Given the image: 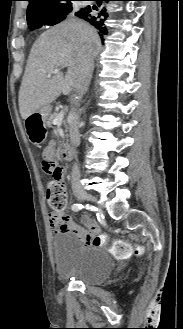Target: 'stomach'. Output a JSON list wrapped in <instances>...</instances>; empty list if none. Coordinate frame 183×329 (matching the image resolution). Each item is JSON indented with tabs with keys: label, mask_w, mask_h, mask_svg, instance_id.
<instances>
[{
	"label": "stomach",
	"mask_w": 183,
	"mask_h": 329,
	"mask_svg": "<svg viewBox=\"0 0 183 329\" xmlns=\"http://www.w3.org/2000/svg\"><path fill=\"white\" fill-rule=\"evenodd\" d=\"M51 110L52 108L50 105H44L38 110L37 114L41 115V118L45 119L50 115Z\"/></svg>",
	"instance_id": "1"
}]
</instances>
